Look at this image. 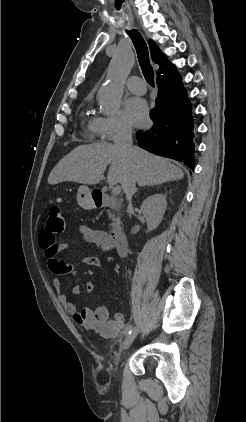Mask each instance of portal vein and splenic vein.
I'll return each instance as SVG.
<instances>
[{
    "mask_svg": "<svg viewBox=\"0 0 246 422\" xmlns=\"http://www.w3.org/2000/svg\"><path fill=\"white\" fill-rule=\"evenodd\" d=\"M120 192H121V187H120V186H115V187L112 189V194H113V195H118V194H120Z\"/></svg>",
    "mask_w": 246,
    "mask_h": 422,
    "instance_id": "portal-vein-and-splenic-vein-1",
    "label": "portal vein and splenic vein"
}]
</instances>
